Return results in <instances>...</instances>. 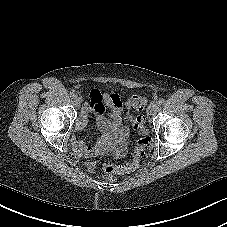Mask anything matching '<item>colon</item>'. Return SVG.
Segmentation results:
<instances>
[{
  "mask_svg": "<svg viewBox=\"0 0 227 227\" xmlns=\"http://www.w3.org/2000/svg\"><path fill=\"white\" fill-rule=\"evenodd\" d=\"M123 106L127 109H135L141 111L147 106V99L140 95H135L130 97L127 100L123 101ZM126 120L131 122L132 127L138 134V139L134 151L132 153V160L126 165H116L112 162H106L102 164L103 171L105 176L108 179H114L116 175L129 174L138 169L140 165V160L145 154L151 138L149 136L148 130L145 126V118L142 115L132 116L127 115ZM96 161H91L88 163L87 167L90 171H93L95 168Z\"/></svg>",
  "mask_w": 227,
  "mask_h": 227,
  "instance_id": "5ec220e1",
  "label": "colon"
}]
</instances>
